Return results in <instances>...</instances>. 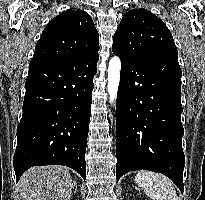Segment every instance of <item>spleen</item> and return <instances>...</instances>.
Returning a JSON list of instances; mask_svg holds the SVG:
<instances>
[{"mask_svg":"<svg viewBox=\"0 0 205 200\" xmlns=\"http://www.w3.org/2000/svg\"><path fill=\"white\" fill-rule=\"evenodd\" d=\"M135 182L152 200H179L172 181L160 173L140 171Z\"/></svg>","mask_w":205,"mask_h":200,"instance_id":"obj_1","label":"spleen"}]
</instances>
